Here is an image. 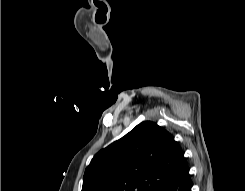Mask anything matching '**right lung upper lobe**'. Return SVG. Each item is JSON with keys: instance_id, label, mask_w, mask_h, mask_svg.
I'll list each match as a JSON object with an SVG mask.
<instances>
[{"instance_id": "1", "label": "right lung upper lobe", "mask_w": 245, "mask_h": 191, "mask_svg": "<svg viewBox=\"0 0 245 191\" xmlns=\"http://www.w3.org/2000/svg\"><path fill=\"white\" fill-rule=\"evenodd\" d=\"M187 171L172 135L145 121L94 156L82 191H159Z\"/></svg>"}]
</instances>
